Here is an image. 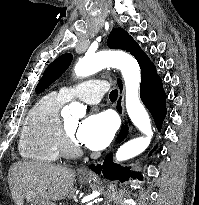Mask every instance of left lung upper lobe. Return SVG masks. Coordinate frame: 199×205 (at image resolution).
I'll use <instances>...</instances> for the list:
<instances>
[{
	"label": "left lung upper lobe",
	"mask_w": 199,
	"mask_h": 205,
	"mask_svg": "<svg viewBox=\"0 0 199 205\" xmlns=\"http://www.w3.org/2000/svg\"><path fill=\"white\" fill-rule=\"evenodd\" d=\"M133 38L122 28H115L108 36V47L112 49L127 50ZM72 61V55L66 53L54 60L45 70L39 81L35 92L41 93L55 80H57L69 67Z\"/></svg>",
	"instance_id": "obj_1"
}]
</instances>
